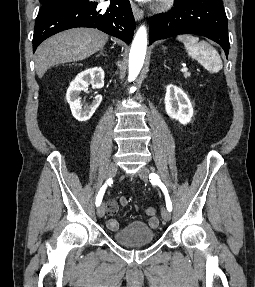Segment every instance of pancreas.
<instances>
[{
    "label": "pancreas",
    "mask_w": 255,
    "mask_h": 287,
    "mask_svg": "<svg viewBox=\"0 0 255 287\" xmlns=\"http://www.w3.org/2000/svg\"><path fill=\"white\" fill-rule=\"evenodd\" d=\"M184 78H190V74H189V72H185V74H184Z\"/></svg>",
    "instance_id": "1"
}]
</instances>
